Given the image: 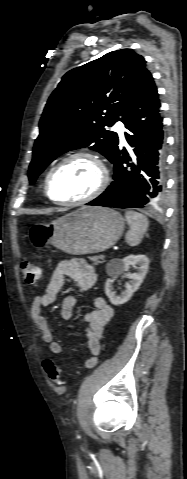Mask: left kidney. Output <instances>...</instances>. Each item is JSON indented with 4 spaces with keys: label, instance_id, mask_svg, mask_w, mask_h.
I'll use <instances>...</instances> for the list:
<instances>
[{
    "label": "left kidney",
    "instance_id": "left-kidney-1",
    "mask_svg": "<svg viewBox=\"0 0 187 479\" xmlns=\"http://www.w3.org/2000/svg\"><path fill=\"white\" fill-rule=\"evenodd\" d=\"M130 267L137 269L138 272L127 274L131 281L126 283L125 291L118 296L114 291L113 279L128 271ZM148 267L149 258L145 255H129L123 259L114 258L110 260L106 265V272L110 278L105 283V293L110 302L116 306L126 303L140 287L147 274Z\"/></svg>",
    "mask_w": 187,
    "mask_h": 479
}]
</instances>
